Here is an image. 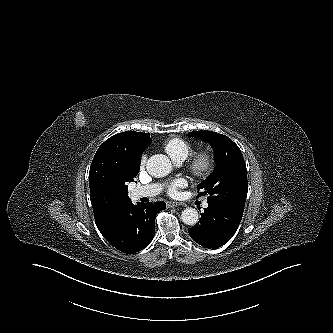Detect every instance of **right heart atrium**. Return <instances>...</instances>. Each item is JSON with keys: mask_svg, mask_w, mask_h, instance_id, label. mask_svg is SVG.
<instances>
[{"mask_svg": "<svg viewBox=\"0 0 333 333\" xmlns=\"http://www.w3.org/2000/svg\"><path fill=\"white\" fill-rule=\"evenodd\" d=\"M147 161V157L146 155H142L141 159H140V167L143 168L145 166V163Z\"/></svg>", "mask_w": 333, "mask_h": 333, "instance_id": "right-heart-atrium-1", "label": "right heart atrium"}]
</instances>
